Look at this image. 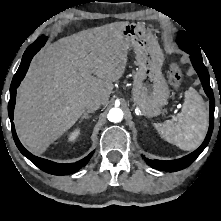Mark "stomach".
<instances>
[{
	"label": "stomach",
	"mask_w": 221,
	"mask_h": 221,
	"mask_svg": "<svg viewBox=\"0 0 221 221\" xmlns=\"http://www.w3.org/2000/svg\"><path fill=\"white\" fill-rule=\"evenodd\" d=\"M123 36L129 49L134 50L138 65L133 81V101L142 115L157 116L170 95L161 71L164 54L156 39L141 25H126Z\"/></svg>",
	"instance_id": "obj_1"
}]
</instances>
